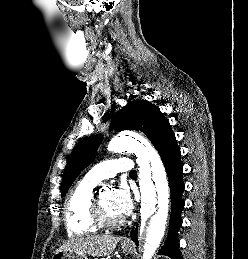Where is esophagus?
<instances>
[{"mask_svg": "<svg viewBox=\"0 0 248 259\" xmlns=\"http://www.w3.org/2000/svg\"><path fill=\"white\" fill-rule=\"evenodd\" d=\"M123 243H124V244H130L131 241H130V239H127V238H126V239L123 240Z\"/></svg>", "mask_w": 248, "mask_h": 259, "instance_id": "1", "label": "esophagus"}]
</instances>
